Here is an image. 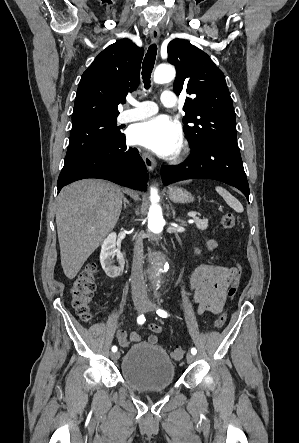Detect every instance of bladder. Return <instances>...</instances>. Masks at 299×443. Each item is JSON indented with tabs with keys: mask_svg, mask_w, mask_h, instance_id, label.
Instances as JSON below:
<instances>
[{
	"mask_svg": "<svg viewBox=\"0 0 299 443\" xmlns=\"http://www.w3.org/2000/svg\"><path fill=\"white\" fill-rule=\"evenodd\" d=\"M121 376L135 390H161L174 383L175 364L160 345L139 343L123 356Z\"/></svg>",
	"mask_w": 299,
	"mask_h": 443,
	"instance_id": "bladder-1",
	"label": "bladder"
}]
</instances>
